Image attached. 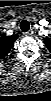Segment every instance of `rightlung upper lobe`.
Segmentation results:
<instances>
[{"label":"right lung upper lobe","instance_id":"right-lung-upper-lobe-1","mask_svg":"<svg viewBox=\"0 0 51 101\" xmlns=\"http://www.w3.org/2000/svg\"><path fill=\"white\" fill-rule=\"evenodd\" d=\"M0 39V58H4L9 53L17 37L3 35Z\"/></svg>","mask_w":51,"mask_h":101}]
</instances>
